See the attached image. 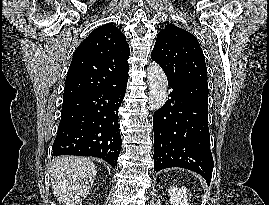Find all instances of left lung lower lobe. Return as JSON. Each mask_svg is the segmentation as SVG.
<instances>
[{
    "label": "left lung lower lobe",
    "instance_id": "obj_1",
    "mask_svg": "<svg viewBox=\"0 0 269 205\" xmlns=\"http://www.w3.org/2000/svg\"><path fill=\"white\" fill-rule=\"evenodd\" d=\"M167 79L170 99L153 115L154 171L181 167L200 174L209 184L214 163L207 82Z\"/></svg>",
    "mask_w": 269,
    "mask_h": 205
}]
</instances>
